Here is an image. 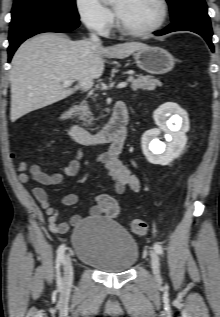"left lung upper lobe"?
<instances>
[{"label":"left lung upper lobe","instance_id":"1","mask_svg":"<svg viewBox=\"0 0 220 317\" xmlns=\"http://www.w3.org/2000/svg\"><path fill=\"white\" fill-rule=\"evenodd\" d=\"M170 7L171 19L175 20L191 6L206 7L204 0H166Z\"/></svg>","mask_w":220,"mask_h":317}]
</instances>
